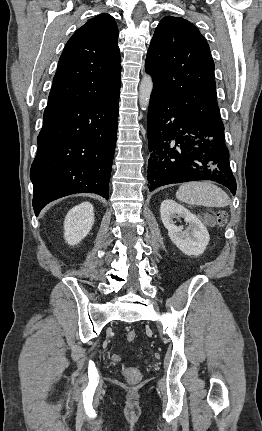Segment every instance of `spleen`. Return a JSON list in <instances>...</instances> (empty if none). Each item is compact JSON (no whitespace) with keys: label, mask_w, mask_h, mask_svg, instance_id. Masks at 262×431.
<instances>
[{"label":"spleen","mask_w":262,"mask_h":431,"mask_svg":"<svg viewBox=\"0 0 262 431\" xmlns=\"http://www.w3.org/2000/svg\"><path fill=\"white\" fill-rule=\"evenodd\" d=\"M176 198L189 205L226 207L230 198L225 191L210 182H188L176 192Z\"/></svg>","instance_id":"3e777b00"}]
</instances>
